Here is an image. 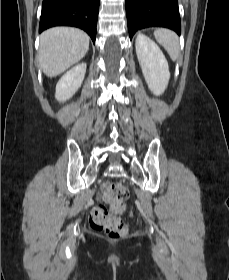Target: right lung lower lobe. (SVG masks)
I'll list each match as a JSON object with an SVG mask.
<instances>
[{"instance_id": "obj_1", "label": "right lung lower lobe", "mask_w": 229, "mask_h": 280, "mask_svg": "<svg viewBox=\"0 0 229 280\" xmlns=\"http://www.w3.org/2000/svg\"><path fill=\"white\" fill-rule=\"evenodd\" d=\"M99 0H43L39 33L53 26L83 29L95 43Z\"/></svg>"}]
</instances>
